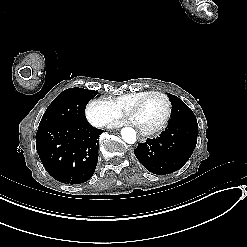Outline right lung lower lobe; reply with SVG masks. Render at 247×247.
<instances>
[{
    "label": "right lung lower lobe",
    "mask_w": 247,
    "mask_h": 247,
    "mask_svg": "<svg viewBox=\"0 0 247 247\" xmlns=\"http://www.w3.org/2000/svg\"><path fill=\"white\" fill-rule=\"evenodd\" d=\"M103 130L85 122L38 127L36 149L46 171L57 181L79 184L93 176L98 161V137Z\"/></svg>",
    "instance_id": "98d812e1"
}]
</instances>
